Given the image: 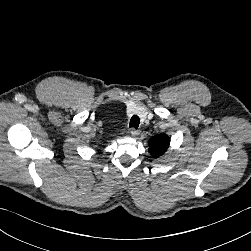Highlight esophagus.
Returning <instances> with one entry per match:
<instances>
[{
	"label": "esophagus",
	"mask_w": 251,
	"mask_h": 251,
	"mask_svg": "<svg viewBox=\"0 0 251 251\" xmlns=\"http://www.w3.org/2000/svg\"><path fill=\"white\" fill-rule=\"evenodd\" d=\"M130 132L133 137H137L140 134V131L136 129H131Z\"/></svg>",
	"instance_id": "esophagus-1"
}]
</instances>
